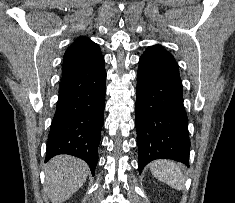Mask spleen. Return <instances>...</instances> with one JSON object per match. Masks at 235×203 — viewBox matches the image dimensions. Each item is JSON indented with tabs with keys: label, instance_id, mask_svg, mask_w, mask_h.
<instances>
[{
	"label": "spleen",
	"instance_id": "spleen-1",
	"mask_svg": "<svg viewBox=\"0 0 235 203\" xmlns=\"http://www.w3.org/2000/svg\"><path fill=\"white\" fill-rule=\"evenodd\" d=\"M152 175L159 181L174 189L182 190L185 186V177L181 168L170 160H156L150 164Z\"/></svg>",
	"mask_w": 235,
	"mask_h": 203
}]
</instances>
